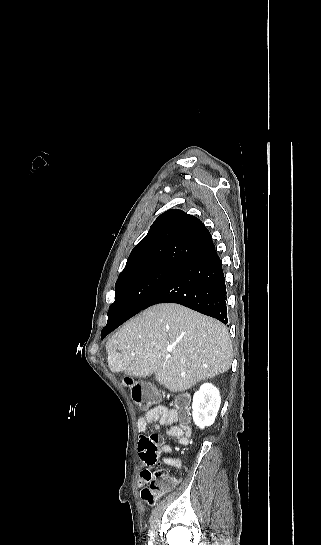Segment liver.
<instances>
[{"label": "liver", "instance_id": "liver-1", "mask_svg": "<svg viewBox=\"0 0 321 545\" xmlns=\"http://www.w3.org/2000/svg\"><path fill=\"white\" fill-rule=\"evenodd\" d=\"M106 351L112 373H154L172 393L226 373L233 361L227 327L175 303L154 305L130 319L107 341Z\"/></svg>", "mask_w": 321, "mask_h": 545}]
</instances>
